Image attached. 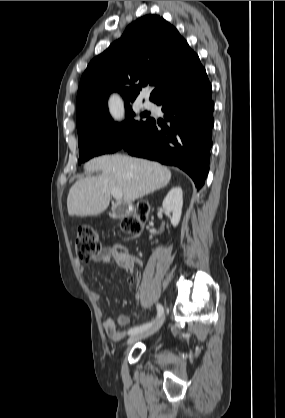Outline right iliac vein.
Here are the masks:
<instances>
[{
	"mask_svg": "<svg viewBox=\"0 0 285 418\" xmlns=\"http://www.w3.org/2000/svg\"><path fill=\"white\" fill-rule=\"evenodd\" d=\"M164 322V317L159 318L151 327H149L148 329L141 331V332H137L132 334L128 340L127 343L129 345L133 344L134 342H137L141 339L147 338L151 335H153L154 333H156L161 326L163 325Z\"/></svg>",
	"mask_w": 285,
	"mask_h": 418,
	"instance_id": "63e3f726",
	"label": "right iliac vein"
}]
</instances>
